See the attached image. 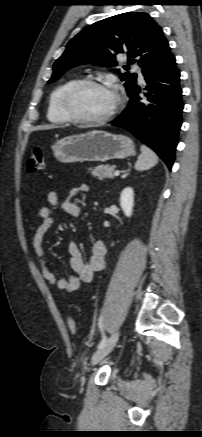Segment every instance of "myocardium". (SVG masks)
I'll return each instance as SVG.
<instances>
[{
	"instance_id": "myocardium-1",
	"label": "myocardium",
	"mask_w": 202,
	"mask_h": 437,
	"mask_svg": "<svg viewBox=\"0 0 202 437\" xmlns=\"http://www.w3.org/2000/svg\"><path fill=\"white\" fill-rule=\"evenodd\" d=\"M86 87L104 88V89L111 90L115 94L116 101L109 113H107L102 117H87L80 114L76 110L74 106V99L76 95ZM122 104H123V99L117 88H115L113 85L109 83L99 81L96 79H91V78L80 79L76 81L65 91L61 100V107L64 114L72 121L83 123V124H103L110 121L119 112V110L122 107Z\"/></svg>"
}]
</instances>
